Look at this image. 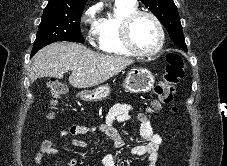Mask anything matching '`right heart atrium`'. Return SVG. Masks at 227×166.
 I'll list each match as a JSON object with an SVG mask.
<instances>
[{
    "instance_id": "1",
    "label": "right heart atrium",
    "mask_w": 227,
    "mask_h": 166,
    "mask_svg": "<svg viewBox=\"0 0 227 166\" xmlns=\"http://www.w3.org/2000/svg\"><path fill=\"white\" fill-rule=\"evenodd\" d=\"M97 6L93 5L86 9L83 14V22L87 25H91L92 27L88 30L89 38H92L95 35V25H96V14H97Z\"/></svg>"
}]
</instances>
